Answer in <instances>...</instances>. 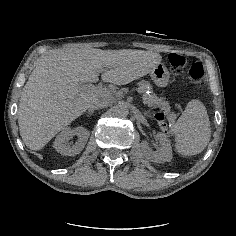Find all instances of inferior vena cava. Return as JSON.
Instances as JSON below:
<instances>
[{
	"label": "inferior vena cava",
	"instance_id": "1",
	"mask_svg": "<svg viewBox=\"0 0 236 236\" xmlns=\"http://www.w3.org/2000/svg\"><path fill=\"white\" fill-rule=\"evenodd\" d=\"M109 103L110 102L107 101V100H99V101L95 102V104L92 105L90 107V109H92V110H94V109H102V108L107 107L109 105Z\"/></svg>",
	"mask_w": 236,
	"mask_h": 236
}]
</instances>
